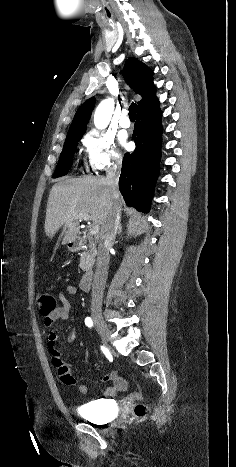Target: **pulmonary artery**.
I'll return each instance as SVG.
<instances>
[{"instance_id": "1", "label": "pulmonary artery", "mask_w": 236, "mask_h": 467, "mask_svg": "<svg viewBox=\"0 0 236 467\" xmlns=\"http://www.w3.org/2000/svg\"><path fill=\"white\" fill-rule=\"evenodd\" d=\"M119 124H120V126L123 127V128H128V127H130L131 121H130V119H129V117H128V113H127L126 110H124V111L121 113V116H120V118H119Z\"/></svg>"}]
</instances>
